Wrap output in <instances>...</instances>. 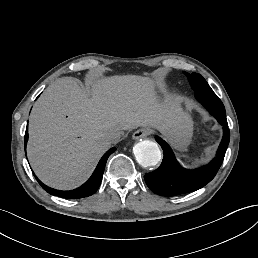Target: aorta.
<instances>
[{
    "label": "aorta",
    "mask_w": 258,
    "mask_h": 258,
    "mask_svg": "<svg viewBox=\"0 0 258 258\" xmlns=\"http://www.w3.org/2000/svg\"><path fill=\"white\" fill-rule=\"evenodd\" d=\"M133 153L142 167L156 166L161 160V151L156 142L144 140L134 145Z\"/></svg>",
    "instance_id": "aorta-1"
}]
</instances>
